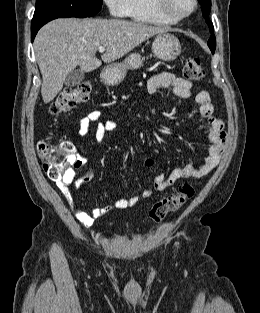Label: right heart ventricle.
Masks as SVG:
<instances>
[{
  "label": "right heart ventricle",
  "instance_id": "right-heart-ventricle-1",
  "mask_svg": "<svg viewBox=\"0 0 260 313\" xmlns=\"http://www.w3.org/2000/svg\"><path fill=\"white\" fill-rule=\"evenodd\" d=\"M126 16L139 23L153 25L174 24L157 12L154 6V0H127Z\"/></svg>",
  "mask_w": 260,
  "mask_h": 313
}]
</instances>
